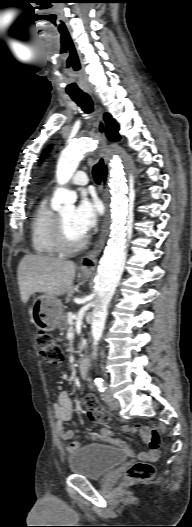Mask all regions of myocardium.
Segmentation results:
<instances>
[{
  "label": "myocardium",
  "mask_w": 192,
  "mask_h": 527,
  "mask_svg": "<svg viewBox=\"0 0 192 527\" xmlns=\"http://www.w3.org/2000/svg\"><path fill=\"white\" fill-rule=\"evenodd\" d=\"M55 239L60 251L65 253L77 252L83 249L88 242V237L86 236H84L80 241L76 243L69 242L66 237L63 222L59 214H56L55 217Z\"/></svg>",
  "instance_id": "1"
}]
</instances>
